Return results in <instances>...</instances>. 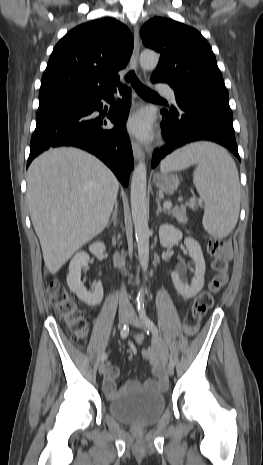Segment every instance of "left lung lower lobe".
Wrapping results in <instances>:
<instances>
[{
  "label": "left lung lower lobe",
  "mask_w": 263,
  "mask_h": 465,
  "mask_svg": "<svg viewBox=\"0 0 263 465\" xmlns=\"http://www.w3.org/2000/svg\"><path fill=\"white\" fill-rule=\"evenodd\" d=\"M151 81L162 82L152 78ZM174 92L177 109L161 111L164 115L161 126L169 145L154 152L152 168L174 149L200 140L216 142L229 149L240 160L229 101H195L188 98L183 89H174Z\"/></svg>",
  "instance_id": "1"
}]
</instances>
